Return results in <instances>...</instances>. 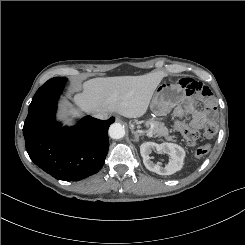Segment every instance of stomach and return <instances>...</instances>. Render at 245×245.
<instances>
[{
  "mask_svg": "<svg viewBox=\"0 0 245 245\" xmlns=\"http://www.w3.org/2000/svg\"><path fill=\"white\" fill-rule=\"evenodd\" d=\"M183 98V91L165 81L157 87L151 101V109L158 116H166L173 109L172 115L182 118L187 113L182 106Z\"/></svg>",
  "mask_w": 245,
  "mask_h": 245,
  "instance_id": "stomach-1",
  "label": "stomach"
}]
</instances>
